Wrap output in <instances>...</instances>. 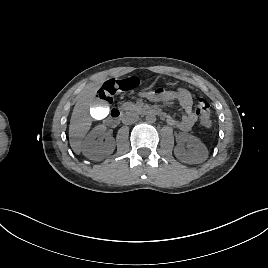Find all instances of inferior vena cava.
I'll return each instance as SVG.
<instances>
[{
    "mask_svg": "<svg viewBox=\"0 0 268 268\" xmlns=\"http://www.w3.org/2000/svg\"><path fill=\"white\" fill-rule=\"evenodd\" d=\"M138 119H139V116H138L137 113H135V112H128V113H126L124 115L122 121H123L124 124L129 125V124H133V123L137 122Z\"/></svg>",
    "mask_w": 268,
    "mask_h": 268,
    "instance_id": "inferior-vena-cava-1",
    "label": "inferior vena cava"
}]
</instances>
